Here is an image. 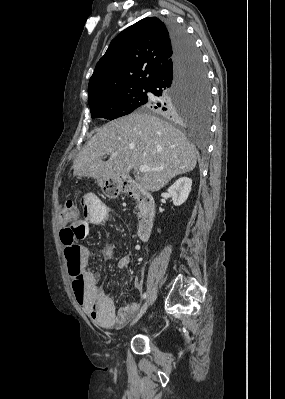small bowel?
<instances>
[{
    "label": "small bowel",
    "instance_id": "small-bowel-1",
    "mask_svg": "<svg viewBox=\"0 0 285 399\" xmlns=\"http://www.w3.org/2000/svg\"><path fill=\"white\" fill-rule=\"evenodd\" d=\"M80 214V237H86L88 235L90 226L103 225L107 220L106 208L95 195L85 196ZM89 257L90 250L81 248L79 271L84 281V289L82 292L72 290V294L94 322L103 327L121 328L139 311L140 305L136 302H128L116 310L112 299L99 291L96 277L87 270ZM66 263L70 271L71 266L67 258ZM129 263V257H122L118 261V267L120 269H125L128 267ZM134 286L140 289L141 282L135 279Z\"/></svg>",
    "mask_w": 285,
    "mask_h": 399
}]
</instances>
